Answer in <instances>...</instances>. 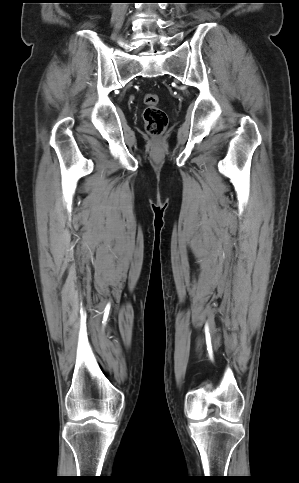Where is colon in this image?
<instances>
[{"mask_svg": "<svg viewBox=\"0 0 299 483\" xmlns=\"http://www.w3.org/2000/svg\"><path fill=\"white\" fill-rule=\"evenodd\" d=\"M145 108L143 118L147 132L152 136L162 135L168 125L166 112L159 107V96L155 93H148L144 96Z\"/></svg>", "mask_w": 299, "mask_h": 483, "instance_id": "colon-1", "label": "colon"}]
</instances>
